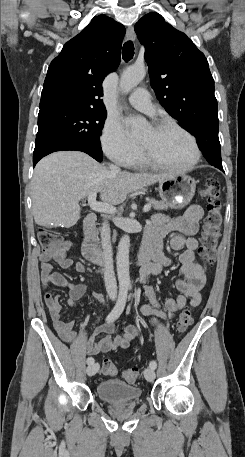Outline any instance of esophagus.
<instances>
[{"label": "esophagus", "mask_w": 245, "mask_h": 457, "mask_svg": "<svg viewBox=\"0 0 245 457\" xmlns=\"http://www.w3.org/2000/svg\"><path fill=\"white\" fill-rule=\"evenodd\" d=\"M126 36H127V39H128V40H132V41L135 40L136 35H135V32H134V28H133V27H128V28H127Z\"/></svg>", "instance_id": "1"}]
</instances>
